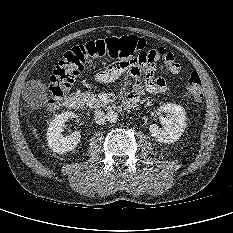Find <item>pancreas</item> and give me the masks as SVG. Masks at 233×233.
<instances>
[{
  "mask_svg": "<svg viewBox=\"0 0 233 233\" xmlns=\"http://www.w3.org/2000/svg\"><path fill=\"white\" fill-rule=\"evenodd\" d=\"M82 101L91 108H97L103 105L101 100L92 92H84L81 94Z\"/></svg>",
  "mask_w": 233,
  "mask_h": 233,
  "instance_id": "obj_1",
  "label": "pancreas"
}]
</instances>
